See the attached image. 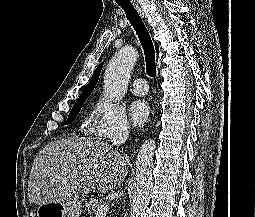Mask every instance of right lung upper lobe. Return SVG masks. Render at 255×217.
Here are the masks:
<instances>
[{
  "label": "right lung upper lobe",
  "instance_id": "1",
  "mask_svg": "<svg viewBox=\"0 0 255 217\" xmlns=\"http://www.w3.org/2000/svg\"><path fill=\"white\" fill-rule=\"evenodd\" d=\"M156 46V51L157 53L159 52L158 50V44H155ZM102 66H103V62L96 68V70L94 71L93 75H92V78L90 80V82L86 85V87L83 89L82 91V94L81 95H84V94H87V93H92L93 89H94V86L96 85L98 79H99V75H100V72H101V69H102ZM80 95V96H81Z\"/></svg>",
  "mask_w": 255,
  "mask_h": 217
}]
</instances>
